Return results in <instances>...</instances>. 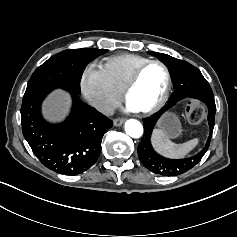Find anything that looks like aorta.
Returning <instances> with one entry per match:
<instances>
[{"label":"aorta","mask_w":237,"mask_h":237,"mask_svg":"<svg viewBox=\"0 0 237 237\" xmlns=\"http://www.w3.org/2000/svg\"><path fill=\"white\" fill-rule=\"evenodd\" d=\"M125 132L132 138H140L143 134V126L136 119H129L125 122Z\"/></svg>","instance_id":"1"}]
</instances>
